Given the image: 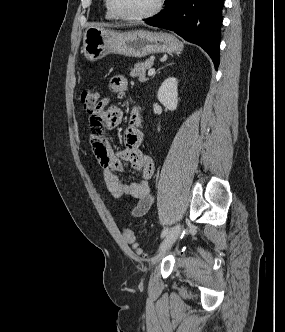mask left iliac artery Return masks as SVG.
<instances>
[{"label": "left iliac artery", "instance_id": "obj_1", "mask_svg": "<svg viewBox=\"0 0 285 332\" xmlns=\"http://www.w3.org/2000/svg\"><path fill=\"white\" fill-rule=\"evenodd\" d=\"M168 231H169L168 227H165L161 233V238L165 237L168 234Z\"/></svg>", "mask_w": 285, "mask_h": 332}]
</instances>
